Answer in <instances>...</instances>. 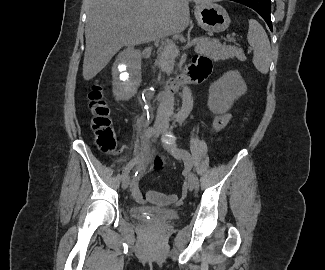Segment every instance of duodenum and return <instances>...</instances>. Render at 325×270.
I'll list each match as a JSON object with an SVG mask.
<instances>
[{
    "instance_id": "obj_1",
    "label": "duodenum",
    "mask_w": 325,
    "mask_h": 270,
    "mask_svg": "<svg viewBox=\"0 0 325 270\" xmlns=\"http://www.w3.org/2000/svg\"><path fill=\"white\" fill-rule=\"evenodd\" d=\"M152 47L148 46L143 51V58L147 59L151 55ZM190 81H194L190 75L184 74L173 80H171L166 86V92L168 95L174 94L180 87L186 85Z\"/></svg>"
}]
</instances>
